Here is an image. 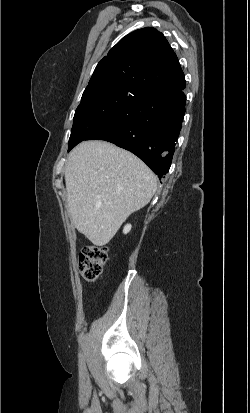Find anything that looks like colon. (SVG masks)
<instances>
[{
    "mask_svg": "<svg viewBox=\"0 0 250 413\" xmlns=\"http://www.w3.org/2000/svg\"><path fill=\"white\" fill-rule=\"evenodd\" d=\"M108 250L102 246L86 245L79 254V271L87 281H95L103 274Z\"/></svg>",
    "mask_w": 250,
    "mask_h": 413,
    "instance_id": "obj_1",
    "label": "colon"
}]
</instances>
